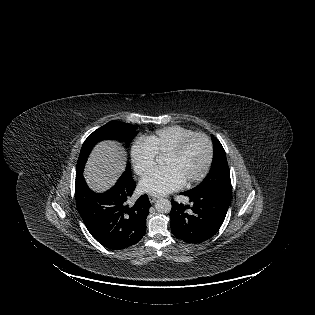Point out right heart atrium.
I'll use <instances>...</instances> for the list:
<instances>
[{
    "label": "right heart atrium",
    "instance_id": "right-heart-atrium-1",
    "mask_svg": "<svg viewBox=\"0 0 315 315\" xmlns=\"http://www.w3.org/2000/svg\"><path fill=\"white\" fill-rule=\"evenodd\" d=\"M131 162L137 175H146L155 165L156 153L146 139L136 141L130 151Z\"/></svg>",
    "mask_w": 315,
    "mask_h": 315
}]
</instances>
